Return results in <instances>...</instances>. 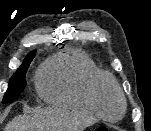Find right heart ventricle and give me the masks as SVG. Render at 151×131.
I'll list each match as a JSON object with an SVG mask.
<instances>
[{"label": "right heart ventricle", "mask_w": 151, "mask_h": 131, "mask_svg": "<svg viewBox=\"0 0 151 131\" xmlns=\"http://www.w3.org/2000/svg\"><path fill=\"white\" fill-rule=\"evenodd\" d=\"M101 71L85 52L67 49L48 59L37 74V90L49 104L80 110L98 117L89 88Z\"/></svg>", "instance_id": "e07e8e85"}]
</instances>
